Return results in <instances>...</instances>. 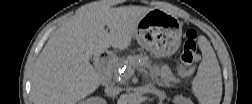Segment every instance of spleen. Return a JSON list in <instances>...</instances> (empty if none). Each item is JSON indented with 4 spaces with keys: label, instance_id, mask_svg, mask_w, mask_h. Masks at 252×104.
Wrapping results in <instances>:
<instances>
[{
    "label": "spleen",
    "instance_id": "3e777b00",
    "mask_svg": "<svg viewBox=\"0 0 252 104\" xmlns=\"http://www.w3.org/2000/svg\"><path fill=\"white\" fill-rule=\"evenodd\" d=\"M202 61L192 81V92L201 104H219L222 97V75L216 54L204 36L198 38Z\"/></svg>",
    "mask_w": 252,
    "mask_h": 104
}]
</instances>
